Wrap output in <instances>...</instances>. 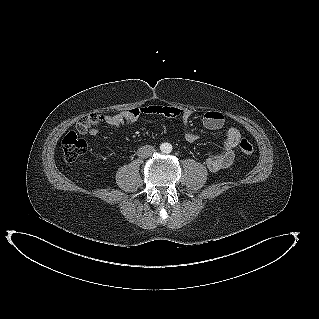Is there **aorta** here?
<instances>
[{
    "label": "aorta",
    "instance_id": "obj_1",
    "mask_svg": "<svg viewBox=\"0 0 319 319\" xmlns=\"http://www.w3.org/2000/svg\"><path fill=\"white\" fill-rule=\"evenodd\" d=\"M160 149L163 153H170L172 151V145L166 142L161 144Z\"/></svg>",
    "mask_w": 319,
    "mask_h": 319
}]
</instances>
